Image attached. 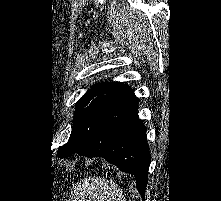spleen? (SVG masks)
<instances>
[{"mask_svg":"<svg viewBox=\"0 0 221 201\" xmlns=\"http://www.w3.org/2000/svg\"><path fill=\"white\" fill-rule=\"evenodd\" d=\"M72 201H125L117 184L100 177H89L74 188Z\"/></svg>","mask_w":221,"mask_h":201,"instance_id":"3e777b00","label":"spleen"}]
</instances>
